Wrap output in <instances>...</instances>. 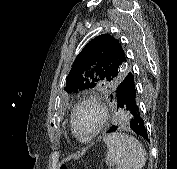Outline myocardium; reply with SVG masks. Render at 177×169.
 I'll return each instance as SVG.
<instances>
[{
	"instance_id": "obj_1",
	"label": "myocardium",
	"mask_w": 177,
	"mask_h": 169,
	"mask_svg": "<svg viewBox=\"0 0 177 169\" xmlns=\"http://www.w3.org/2000/svg\"><path fill=\"white\" fill-rule=\"evenodd\" d=\"M85 106L93 107L98 115H99V123L97 128L87 136H84L80 133L76 125V117L78 112ZM108 119V112L106 107L94 96H88L82 98L74 107L72 114H71V128L73 133L76 135L78 139L81 141L88 142L94 139L105 127Z\"/></svg>"
}]
</instances>
